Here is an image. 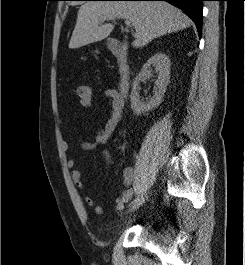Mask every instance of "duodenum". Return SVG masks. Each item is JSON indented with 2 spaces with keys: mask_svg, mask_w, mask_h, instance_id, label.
I'll return each mask as SVG.
<instances>
[{
  "mask_svg": "<svg viewBox=\"0 0 245 265\" xmlns=\"http://www.w3.org/2000/svg\"><path fill=\"white\" fill-rule=\"evenodd\" d=\"M109 50L117 61L119 92L122 96H126L130 86L127 48L121 41L113 39L109 42Z\"/></svg>",
  "mask_w": 245,
  "mask_h": 265,
  "instance_id": "obj_1",
  "label": "duodenum"
}]
</instances>
